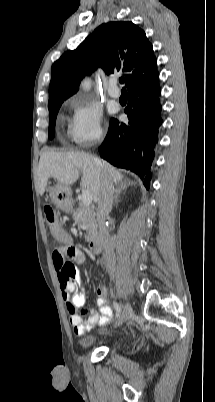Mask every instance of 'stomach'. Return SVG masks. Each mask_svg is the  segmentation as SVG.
Instances as JSON below:
<instances>
[{
  "label": "stomach",
  "instance_id": "0dacf381",
  "mask_svg": "<svg viewBox=\"0 0 215 402\" xmlns=\"http://www.w3.org/2000/svg\"><path fill=\"white\" fill-rule=\"evenodd\" d=\"M50 197L52 203L57 208L66 213L71 212L72 202H71V189L69 186L57 183L54 187L50 189Z\"/></svg>",
  "mask_w": 215,
  "mask_h": 402
}]
</instances>
